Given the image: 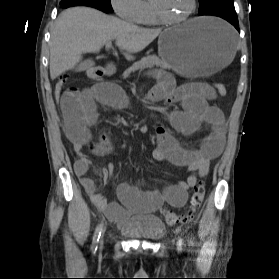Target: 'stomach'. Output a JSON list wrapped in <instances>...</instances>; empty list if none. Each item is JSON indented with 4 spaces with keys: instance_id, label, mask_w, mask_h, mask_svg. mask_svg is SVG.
Returning <instances> with one entry per match:
<instances>
[{
    "instance_id": "0dacf381",
    "label": "stomach",
    "mask_w": 279,
    "mask_h": 279,
    "mask_svg": "<svg viewBox=\"0 0 279 279\" xmlns=\"http://www.w3.org/2000/svg\"><path fill=\"white\" fill-rule=\"evenodd\" d=\"M158 49L162 59L181 76L206 77L228 69L236 51L235 34L223 21L194 18L164 30Z\"/></svg>"
}]
</instances>
